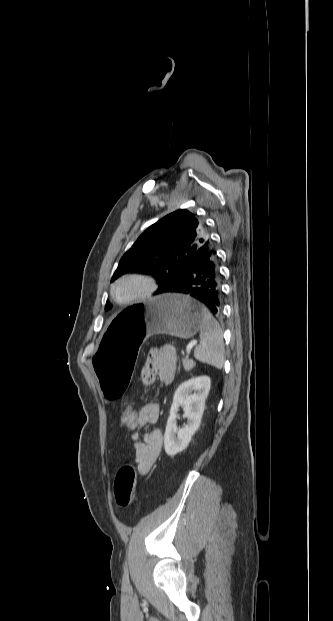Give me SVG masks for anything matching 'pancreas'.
<instances>
[{
  "label": "pancreas",
  "mask_w": 333,
  "mask_h": 621,
  "mask_svg": "<svg viewBox=\"0 0 333 621\" xmlns=\"http://www.w3.org/2000/svg\"><path fill=\"white\" fill-rule=\"evenodd\" d=\"M183 366L185 371H190L195 366V362L192 359H189L188 356L182 359Z\"/></svg>",
  "instance_id": "obj_1"
}]
</instances>
